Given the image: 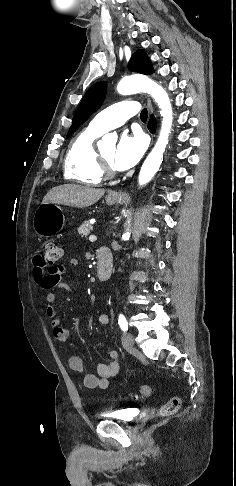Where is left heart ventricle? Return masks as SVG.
<instances>
[{"label":"left heart ventricle","instance_id":"left-heart-ventricle-1","mask_svg":"<svg viewBox=\"0 0 236 486\" xmlns=\"http://www.w3.org/2000/svg\"><path fill=\"white\" fill-rule=\"evenodd\" d=\"M115 149L113 147H108L102 149L99 153L102 158L111 166H113V157H114Z\"/></svg>","mask_w":236,"mask_h":486}]
</instances>
